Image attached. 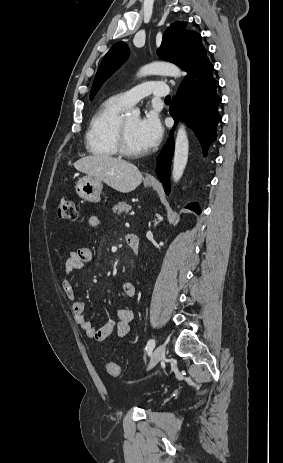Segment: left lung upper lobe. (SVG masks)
<instances>
[{"label": "left lung upper lobe", "instance_id": "obj_1", "mask_svg": "<svg viewBox=\"0 0 283 463\" xmlns=\"http://www.w3.org/2000/svg\"><path fill=\"white\" fill-rule=\"evenodd\" d=\"M187 23L176 21L164 32L162 43L157 51L158 56L175 63L184 71H189L199 63L208 60L203 47L201 35L186 29ZM129 56L126 43L114 44L104 56L96 73L90 93V100L94 98L99 88L118 69Z\"/></svg>", "mask_w": 283, "mask_h": 463}]
</instances>
